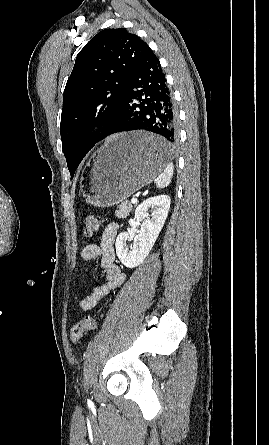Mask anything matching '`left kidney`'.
I'll list each match as a JSON object with an SVG mask.
<instances>
[{"instance_id":"obj_1","label":"left kidney","mask_w":269,"mask_h":445,"mask_svg":"<svg viewBox=\"0 0 269 445\" xmlns=\"http://www.w3.org/2000/svg\"><path fill=\"white\" fill-rule=\"evenodd\" d=\"M170 204L169 196L159 195L146 199L136 208L133 224L141 222L140 233L134 235L133 232H123L116 239V254L124 266L134 268L147 257L163 228ZM127 240H133L131 250L126 246Z\"/></svg>"}]
</instances>
